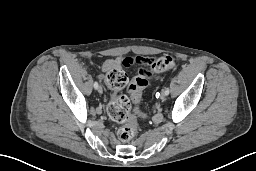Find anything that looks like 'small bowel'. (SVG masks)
<instances>
[{"instance_id":"c3829d8e","label":"small bowel","mask_w":256,"mask_h":171,"mask_svg":"<svg viewBox=\"0 0 256 171\" xmlns=\"http://www.w3.org/2000/svg\"><path fill=\"white\" fill-rule=\"evenodd\" d=\"M152 58L142 57L138 55H128L121 59H107L102 64V71L106 74L114 69L129 68L132 65H150ZM141 76L145 78V75H151V71L146 68H140L139 70ZM146 79V78H145ZM143 115V113H140Z\"/></svg>"}]
</instances>
